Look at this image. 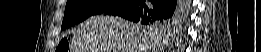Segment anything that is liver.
<instances>
[{"label": "liver", "instance_id": "6515ba94", "mask_svg": "<svg viewBox=\"0 0 261 52\" xmlns=\"http://www.w3.org/2000/svg\"><path fill=\"white\" fill-rule=\"evenodd\" d=\"M71 44L73 52H158L165 43L156 28L96 16L78 27Z\"/></svg>", "mask_w": 261, "mask_h": 52}]
</instances>
